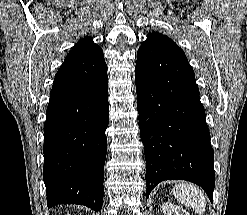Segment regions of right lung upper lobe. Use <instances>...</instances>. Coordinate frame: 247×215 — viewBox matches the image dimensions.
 <instances>
[{
    "instance_id": "obj_1",
    "label": "right lung upper lobe",
    "mask_w": 247,
    "mask_h": 215,
    "mask_svg": "<svg viewBox=\"0 0 247 215\" xmlns=\"http://www.w3.org/2000/svg\"><path fill=\"white\" fill-rule=\"evenodd\" d=\"M100 49L101 48L97 44L93 43L92 37H84L75 44L73 49L67 54V57L84 55Z\"/></svg>"
}]
</instances>
